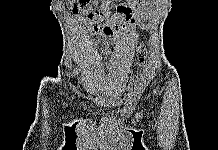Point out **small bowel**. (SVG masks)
<instances>
[{
	"label": "small bowel",
	"mask_w": 218,
	"mask_h": 150,
	"mask_svg": "<svg viewBox=\"0 0 218 150\" xmlns=\"http://www.w3.org/2000/svg\"><path fill=\"white\" fill-rule=\"evenodd\" d=\"M114 0H86L74 10L76 26L90 28L104 35L121 36L130 31L136 20L143 22L149 15L154 0H125L112 11ZM98 9H96V7ZM79 15H85L79 18ZM106 21V22H105Z\"/></svg>",
	"instance_id": "c3829d8e"
}]
</instances>
